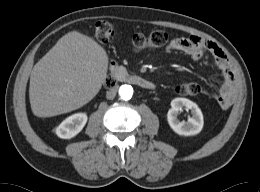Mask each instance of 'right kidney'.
Here are the masks:
<instances>
[{
    "label": "right kidney",
    "instance_id": "right-kidney-1",
    "mask_svg": "<svg viewBox=\"0 0 260 192\" xmlns=\"http://www.w3.org/2000/svg\"><path fill=\"white\" fill-rule=\"evenodd\" d=\"M87 119L86 113H75L63 120L55 129V133L58 137L63 139L73 138L83 129Z\"/></svg>",
    "mask_w": 260,
    "mask_h": 192
}]
</instances>
